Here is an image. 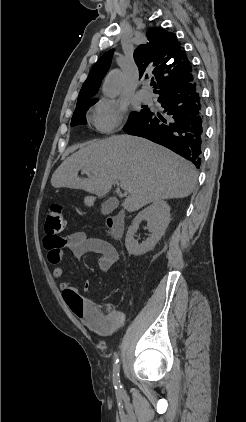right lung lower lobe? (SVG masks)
Returning <instances> with one entry per match:
<instances>
[{
    "label": "right lung lower lobe",
    "instance_id": "obj_1",
    "mask_svg": "<svg viewBox=\"0 0 246 422\" xmlns=\"http://www.w3.org/2000/svg\"><path fill=\"white\" fill-rule=\"evenodd\" d=\"M168 115H147L123 130L163 145L200 167L205 137L204 111L196 79L158 93Z\"/></svg>",
    "mask_w": 246,
    "mask_h": 422
}]
</instances>
